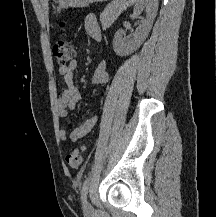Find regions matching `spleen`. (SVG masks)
Instances as JSON below:
<instances>
[{
    "mask_svg": "<svg viewBox=\"0 0 216 217\" xmlns=\"http://www.w3.org/2000/svg\"><path fill=\"white\" fill-rule=\"evenodd\" d=\"M137 0H128L127 1V5H132L136 2Z\"/></svg>",
    "mask_w": 216,
    "mask_h": 217,
    "instance_id": "spleen-1",
    "label": "spleen"
}]
</instances>
